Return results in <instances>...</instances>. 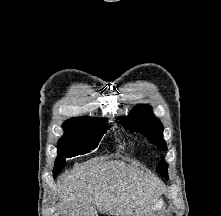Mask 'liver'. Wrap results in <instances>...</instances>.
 <instances>
[{
    "mask_svg": "<svg viewBox=\"0 0 221 216\" xmlns=\"http://www.w3.org/2000/svg\"><path fill=\"white\" fill-rule=\"evenodd\" d=\"M160 180L123 161L91 159L58 178L64 214L69 216H129L150 209L157 201ZM135 216V215H133Z\"/></svg>",
    "mask_w": 221,
    "mask_h": 216,
    "instance_id": "1",
    "label": "liver"
}]
</instances>
